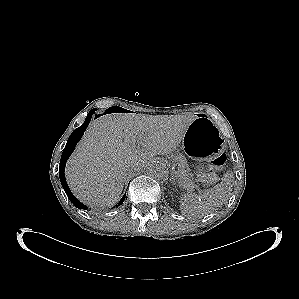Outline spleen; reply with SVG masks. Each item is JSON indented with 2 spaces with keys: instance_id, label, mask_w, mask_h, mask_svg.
Wrapping results in <instances>:
<instances>
[{
  "instance_id": "1",
  "label": "spleen",
  "mask_w": 299,
  "mask_h": 299,
  "mask_svg": "<svg viewBox=\"0 0 299 299\" xmlns=\"http://www.w3.org/2000/svg\"><path fill=\"white\" fill-rule=\"evenodd\" d=\"M233 182L234 175L228 172L221 183L205 190L203 194L184 193L179 201L182 214L197 219L210 214L228 200Z\"/></svg>"
}]
</instances>
